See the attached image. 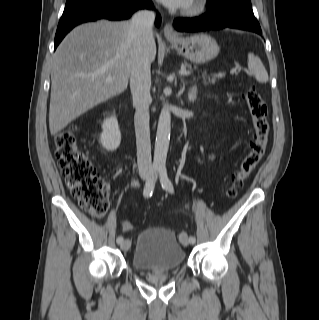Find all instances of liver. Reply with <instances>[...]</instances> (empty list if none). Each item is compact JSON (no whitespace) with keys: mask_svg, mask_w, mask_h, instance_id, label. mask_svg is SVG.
Listing matches in <instances>:
<instances>
[{"mask_svg":"<svg viewBox=\"0 0 319 320\" xmlns=\"http://www.w3.org/2000/svg\"><path fill=\"white\" fill-rule=\"evenodd\" d=\"M129 28V21L86 23L75 27L60 43L51 67V135L126 90L136 54ZM148 54L151 63L156 56L154 39Z\"/></svg>","mask_w":319,"mask_h":320,"instance_id":"1","label":"liver"}]
</instances>
